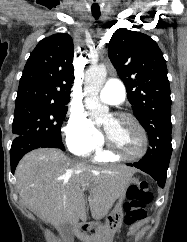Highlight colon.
Here are the masks:
<instances>
[{
	"instance_id": "obj_1",
	"label": "colon",
	"mask_w": 187,
	"mask_h": 242,
	"mask_svg": "<svg viewBox=\"0 0 187 242\" xmlns=\"http://www.w3.org/2000/svg\"><path fill=\"white\" fill-rule=\"evenodd\" d=\"M153 195L146 182L132 185L128 189V201L125 203L126 224L133 225L146 217V206L152 201Z\"/></svg>"
}]
</instances>
